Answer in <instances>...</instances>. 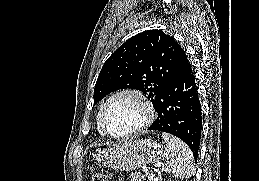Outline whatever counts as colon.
Returning a JSON list of instances; mask_svg holds the SVG:
<instances>
[{
    "label": "colon",
    "instance_id": "1",
    "mask_svg": "<svg viewBox=\"0 0 259 181\" xmlns=\"http://www.w3.org/2000/svg\"><path fill=\"white\" fill-rule=\"evenodd\" d=\"M90 181H109L106 174L102 171H94Z\"/></svg>",
    "mask_w": 259,
    "mask_h": 181
}]
</instances>
